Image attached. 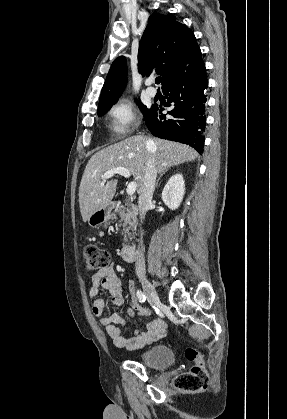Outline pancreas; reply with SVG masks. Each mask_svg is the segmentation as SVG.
Segmentation results:
<instances>
[{"mask_svg":"<svg viewBox=\"0 0 287 419\" xmlns=\"http://www.w3.org/2000/svg\"><path fill=\"white\" fill-rule=\"evenodd\" d=\"M116 214L120 218L121 225L123 227L122 234H126L129 230L134 231L137 223V208L133 204L126 203L116 208L112 218H115ZM127 239V238H126Z\"/></svg>","mask_w":287,"mask_h":419,"instance_id":"obj_1","label":"pancreas"}]
</instances>
